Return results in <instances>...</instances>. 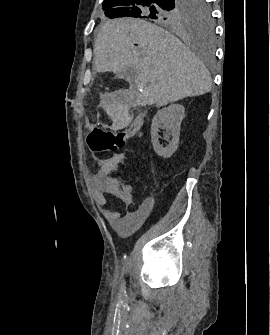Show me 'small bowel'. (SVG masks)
<instances>
[{
	"mask_svg": "<svg viewBox=\"0 0 270 335\" xmlns=\"http://www.w3.org/2000/svg\"><path fill=\"white\" fill-rule=\"evenodd\" d=\"M134 124L140 125L139 121ZM127 157L118 154L106 161L98 163V169L94 176V197L102 205V215L109 224L121 234H128L136 230L144 220L143 213L139 209H134L133 189L128 184H123L110 176L119 166L124 165ZM136 166L135 164L133 165ZM121 178H128V171L120 172ZM105 195L117 199L124 207V212L118 209L106 199Z\"/></svg>",
	"mask_w": 270,
	"mask_h": 335,
	"instance_id": "1",
	"label": "small bowel"
}]
</instances>
